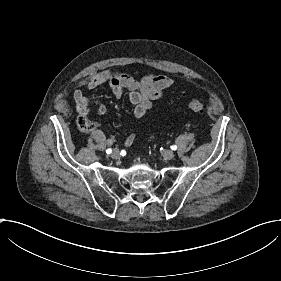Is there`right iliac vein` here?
<instances>
[{"label":"right iliac vein","instance_id":"1","mask_svg":"<svg viewBox=\"0 0 281 281\" xmlns=\"http://www.w3.org/2000/svg\"><path fill=\"white\" fill-rule=\"evenodd\" d=\"M111 156H112V158H114L116 160H119L121 158V155H120L119 151H117V150L112 151Z\"/></svg>","mask_w":281,"mask_h":281}]
</instances>
